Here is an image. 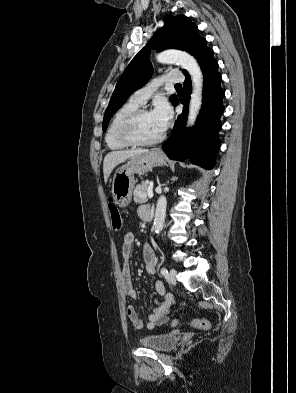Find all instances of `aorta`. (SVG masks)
<instances>
[{
  "label": "aorta",
  "mask_w": 296,
  "mask_h": 393,
  "mask_svg": "<svg viewBox=\"0 0 296 393\" xmlns=\"http://www.w3.org/2000/svg\"><path fill=\"white\" fill-rule=\"evenodd\" d=\"M157 61L163 64H180L191 76L192 80V95L189 103V114L187 126H192L199 114L202 105V89H203V75L196 59L190 54L178 51L167 50L157 55ZM167 200L165 196H160L157 201L154 230L159 233L164 225L166 216Z\"/></svg>",
  "instance_id": "762f6f07"
}]
</instances>
